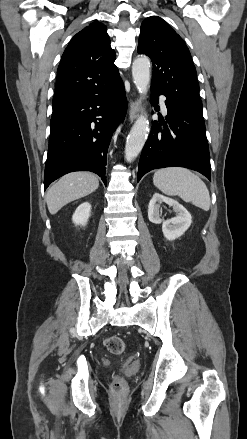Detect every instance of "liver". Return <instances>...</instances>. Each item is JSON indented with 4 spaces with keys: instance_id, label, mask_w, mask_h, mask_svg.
<instances>
[{
    "instance_id": "6515ba94",
    "label": "liver",
    "mask_w": 247,
    "mask_h": 439,
    "mask_svg": "<svg viewBox=\"0 0 247 439\" xmlns=\"http://www.w3.org/2000/svg\"><path fill=\"white\" fill-rule=\"evenodd\" d=\"M99 186L98 178L89 172H72L61 177L46 194L50 214H56L66 204L94 192Z\"/></svg>"
}]
</instances>
